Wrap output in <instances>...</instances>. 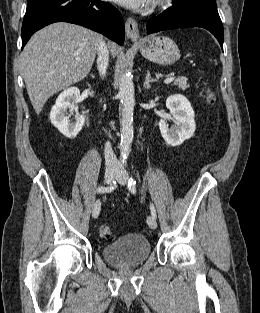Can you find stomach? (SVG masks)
Segmentation results:
<instances>
[{
    "mask_svg": "<svg viewBox=\"0 0 260 313\" xmlns=\"http://www.w3.org/2000/svg\"><path fill=\"white\" fill-rule=\"evenodd\" d=\"M138 46L146 59L160 65H171L180 58L178 46L166 36H149L138 42Z\"/></svg>",
    "mask_w": 260,
    "mask_h": 313,
    "instance_id": "1",
    "label": "stomach"
}]
</instances>
